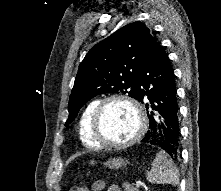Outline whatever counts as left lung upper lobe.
Wrapping results in <instances>:
<instances>
[{
	"mask_svg": "<svg viewBox=\"0 0 221 191\" xmlns=\"http://www.w3.org/2000/svg\"><path fill=\"white\" fill-rule=\"evenodd\" d=\"M154 37L141 22L130 23L92 47L79 65L65 125L100 94L122 93L137 99L138 77Z\"/></svg>",
	"mask_w": 221,
	"mask_h": 191,
	"instance_id": "1",
	"label": "left lung upper lobe"
}]
</instances>
